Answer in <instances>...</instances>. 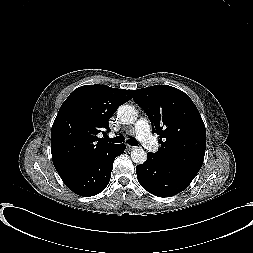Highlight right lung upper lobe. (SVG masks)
Returning <instances> with one entry per match:
<instances>
[{"mask_svg": "<svg viewBox=\"0 0 253 253\" xmlns=\"http://www.w3.org/2000/svg\"><path fill=\"white\" fill-rule=\"evenodd\" d=\"M131 98L130 90L98 84L81 86L68 96L51 129L52 160L59 175L83 168L115 145L97 134L106 135L109 119Z\"/></svg>", "mask_w": 253, "mask_h": 253, "instance_id": "obj_1", "label": "right lung upper lobe"}]
</instances>
